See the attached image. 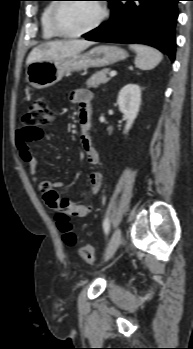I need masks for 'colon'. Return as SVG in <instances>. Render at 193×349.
<instances>
[{
    "label": "colon",
    "mask_w": 193,
    "mask_h": 349,
    "mask_svg": "<svg viewBox=\"0 0 193 349\" xmlns=\"http://www.w3.org/2000/svg\"><path fill=\"white\" fill-rule=\"evenodd\" d=\"M54 120V113L43 99L34 100L26 114L23 117L24 127L27 128L30 135L34 138L42 136L41 126L50 125ZM71 217L67 210L57 211V221L63 239L68 245L75 243V235L71 231ZM79 255L88 264H94L97 261V255L90 245L84 244L79 248Z\"/></svg>",
    "instance_id": "obj_1"
}]
</instances>
